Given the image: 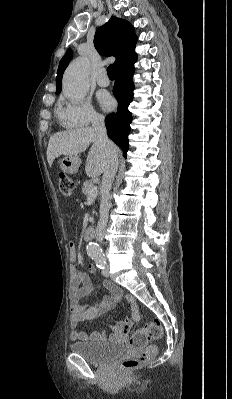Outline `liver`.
Masks as SVG:
<instances>
[{
  "instance_id": "1",
  "label": "liver",
  "mask_w": 232,
  "mask_h": 399,
  "mask_svg": "<svg viewBox=\"0 0 232 399\" xmlns=\"http://www.w3.org/2000/svg\"><path fill=\"white\" fill-rule=\"evenodd\" d=\"M92 144L85 166L88 178H97L105 172L107 166L106 146L98 142V138L93 128H77V130H65L53 134L48 142L47 162L51 168L55 158L59 156H77L85 152ZM115 154L119 148L113 144Z\"/></svg>"
}]
</instances>
